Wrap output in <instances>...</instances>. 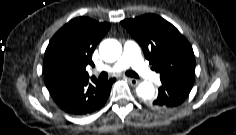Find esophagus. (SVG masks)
<instances>
[{
    "label": "esophagus",
    "mask_w": 236,
    "mask_h": 135,
    "mask_svg": "<svg viewBox=\"0 0 236 135\" xmlns=\"http://www.w3.org/2000/svg\"><path fill=\"white\" fill-rule=\"evenodd\" d=\"M125 79L132 85L135 86L139 83V81L137 79L134 78H129V77H125Z\"/></svg>",
    "instance_id": "esophagus-1"
}]
</instances>
